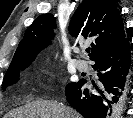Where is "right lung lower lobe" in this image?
Wrapping results in <instances>:
<instances>
[{
	"label": "right lung lower lobe",
	"mask_w": 133,
	"mask_h": 118,
	"mask_svg": "<svg viewBox=\"0 0 133 118\" xmlns=\"http://www.w3.org/2000/svg\"><path fill=\"white\" fill-rule=\"evenodd\" d=\"M92 66L98 72L100 86L85 80L68 84L67 101L85 118H114L122 107L131 73V53L126 38L97 55Z\"/></svg>",
	"instance_id": "98d812e1"
}]
</instances>
